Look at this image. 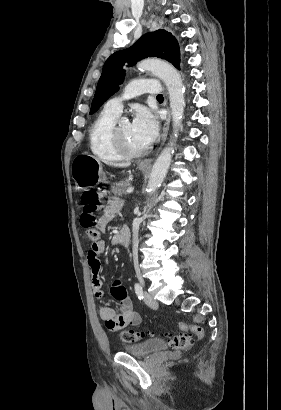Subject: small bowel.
Listing matches in <instances>:
<instances>
[{"mask_svg":"<svg viewBox=\"0 0 281 410\" xmlns=\"http://www.w3.org/2000/svg\"><path fill=\"white\" fill-rule=\"evenodd\" d=\"M122 202L118 198L110 199L104 206L103 212L98 220V229L105 231L108 222L120 212ZM105 250L104 241H98L91 245L87 253L88 266L91 273V285L95 296L100 300H105L103 282L100 276L101 262L100 256ZM111 296L120 302V312L117 313L109 306H102L99 310L100 318L105 322L110 331H117L130 324H137L141 321L140 315L134 310L132 301L128 296L126 287L120 280H114L110 286Z\"/></svg>","mask_w":281,"mask_h":410,"instance_id":"small-bowel-1","label":"small bowel"}]
</instances>
